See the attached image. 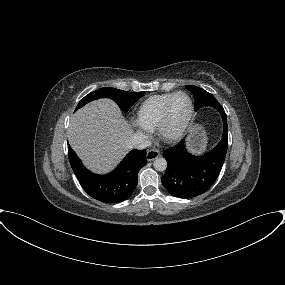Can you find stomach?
Listing matches in <instances>:
<instances>
[{
  "instance_id": "stomach-1",
  "label": "stomach",
  "mask_w": 285,
  "mask_h": 285,
  "mask_svg": "<svg viewBox=\"0 0 285 285\" xmlns=\"http://www.w3.org/2000/svg\"><path fill=\"white\" fill-rule=\"evenodd\" d=\"M207 143L206 132L201 125H195L190 135V147L194 153H201L205 150Z\"/></svg>"
}]
</instances>
